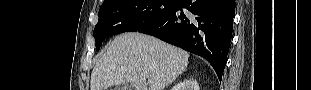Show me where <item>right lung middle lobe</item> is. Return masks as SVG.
I'll return each mask as SVG.
<instances>
[{"label": "right lung middle lobe", "instance_id": "1", "mask_svg": "<svg viewBox=\"0 0 311 90\" xmlns=\"http://www.w3.org/2000/svg\"><path fill=\"white\" fill-rule=\"evenodd\" d=\"M178 0H107L99 10L94 29L96 48L114 34L138 31L170 13Z\"/></svg>", "mask_w": 311, "mask_h": 90}]
</instances>
